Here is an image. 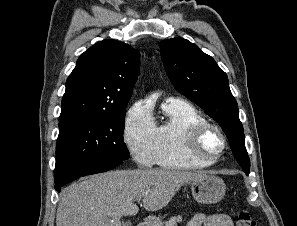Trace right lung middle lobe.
I'll return each mask as SVG.
<instances>
[{"label":"right lung middle lobe","mask_w":297,"mask_h":226,"mask_svg":"<svg viewBox=\"0 0 297 226\" xmlns=\"http://www.w3.org/2000/svg\"><path fill=\"white\" fill-rule=\"evenodd\" d=\"M124 112L112 116L78 115L59 120L56 167L89 158L120 162L128 159L129 151L123 141Z\"/></svg>","instance_id":"dd1d6c3e"}]
</instances>
